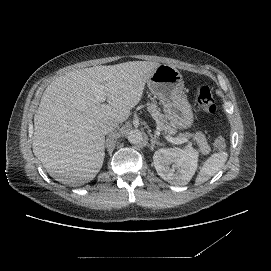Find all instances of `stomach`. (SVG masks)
Masks as SVG:
<instances>
[{
	"label": "stomach",
	"mask_w": 271,
	"mask_h": 271,
	"mask_svg": "<svg viewBox=\"0 0 271 271\" xmlns=\"http://www.w3.org/2000/svg\"><path fill=\"white\" fill-rule=\"evenodd\" d=\"M147 86L151 93L159 98L166 115L174 125L180 129L192 126V107L183 93V77L176 67L160 65L147 80Z\"/></svg>",
	"instance_id": "1"
}]
</instances>
